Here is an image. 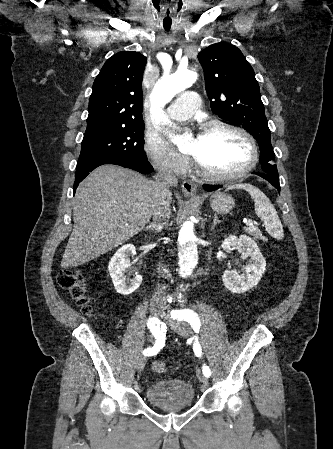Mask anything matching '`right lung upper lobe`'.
Segmentation results:
<instances>
[{
	"label": "right lung upper lobe",
	"instance_id": "right-lung-upper-lobe-1",
	"mask_svg": "<svg viewBox=\"0 0 333 449\" xmlns=\"http://www.w3.org/2000/svg\"><path fill=\"white\" fill-rule=\"evenodd\" d=\"M146 57L123 51L110 57L93 84L87 127L143 122L141 82Z\"/></svg>",
	"mask_w": 333,
	"mask_h": 449
}]
</instances>
